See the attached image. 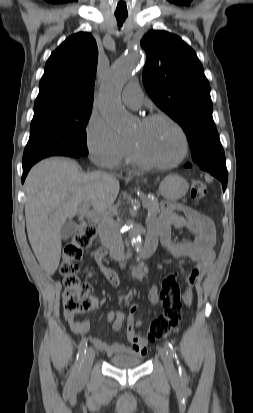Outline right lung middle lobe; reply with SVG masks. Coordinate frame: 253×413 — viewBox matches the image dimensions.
Here are the masks:
<instances>
[{
  "label": "right lung middle lobe",
  "instance_id": "1",
  "mask_svg": "<svg viewBox=\"0 0 253 413\" xmlns=\"http://www.w3.org/2000/svg\"><path fill=\"white\" fill-rule=\"evenodd\" d=\"M92 107L34 113L23 162L63 152L87 155L86 126Z\"/></svg>",
  "mask_w": 253,
  "mask_h": 413
}]
</instances>
